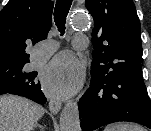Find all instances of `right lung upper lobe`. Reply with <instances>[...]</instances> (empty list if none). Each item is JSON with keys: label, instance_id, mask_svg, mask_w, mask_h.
Returning <instances> with one entry per match:
<instances>
[{"label": "right lung upper lobe", "instance_id": "1", "mask_svg": "<svg viewBox=\"0 0 151 131\" xmlns=\"http://www.w3.org/2000/svg\"><path fill=\"white\" fill-rule=\"evenodd\" d=\"M53 2L10 0L0 12V61L29 60L27 46L47 38L51 28Z\"/></svg>", "mask_w": 151, "mask_h": 131}]
</instances>
